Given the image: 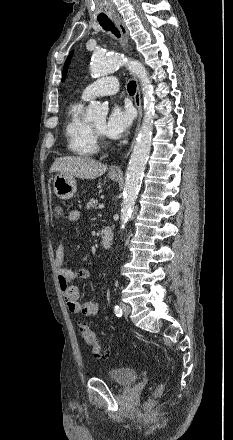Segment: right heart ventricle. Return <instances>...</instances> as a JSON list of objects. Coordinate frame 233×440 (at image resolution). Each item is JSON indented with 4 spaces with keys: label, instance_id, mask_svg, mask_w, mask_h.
Returning a JSON list of instances; mask_svg holds the SVG:
<instances>
[{
    "label": "right heart ventricle",
    "instance_id": "e07e8e85",
    "mask_svg": "<svg viewBox=\"0 0 233 440\" xmlns=\"http://www.w3.org/2000/svg\"><path fill=\"white\" fill-rule=\"evenodd\" d=\"M82 102L70 105L65 124V135L69 151L78 157H91L98 152V142L90 123L83 117Z\"/></svg>",
    "mask_w": 233,
    "mask_h": 440
}]
</instances>
